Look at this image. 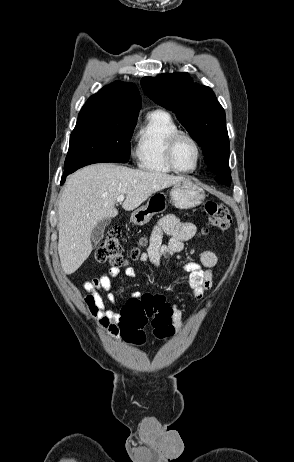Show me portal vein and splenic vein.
<instances>
[{
    "label": "portal vein and splenic vein",
    "instance_id": "1",
    "mask_svg": "<svg viewBox=\"0 0 294 462\" xmlns=\"http://www.w3.org/2000/svg\"><path fill=\"white\" fill-rule=\"evenodd\" d=\"M124 198H125L124 195H120V196L117 197V201L122 202V201H124Z\"/></svg>",
    "mask_w": 294,
    "mask_h": 462
}]
</instances>
